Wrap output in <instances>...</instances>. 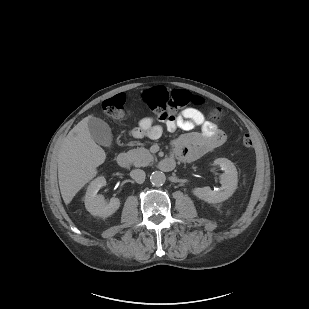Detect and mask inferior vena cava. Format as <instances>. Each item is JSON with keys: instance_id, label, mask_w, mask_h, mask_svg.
Instances as JSON below:
<instances>
[{"instance_id": "obj_1", "label": "inferior vena cava", "mask_w": 309, "mask_h": 309, "mask_svg": "<svg viewBox=\"0 0 309 309\" xmlns=\"http://www.w3.org/2000/svg\"><path fill=\"white\" fill-rule=\"evenodd\" d=\"M130 176L134 179L137 183H143L145 181V172L141 169H134L130 172Z\"/></svg>"}]
</instances>
